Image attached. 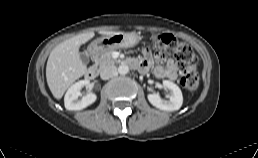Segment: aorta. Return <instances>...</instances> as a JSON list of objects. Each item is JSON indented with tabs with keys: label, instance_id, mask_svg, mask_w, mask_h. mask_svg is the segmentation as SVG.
Here are the masks:
<instances>
[{
	"label": "aorta",
	"instance_id": "obj_1",
	"mask_svg": "<svg viewBox=\"0 0 258 158\" xmlns=\"http://www.w3.org/2000/svg\"><path fill=\"white\" fill-rule=\"evenodd\" d=\"M129 72V67L125 64H122L118 67V73L121 75H125Z\"/></svg>",
	"mask_w": 258,
	"mask_h": 158
}]
</instances>
